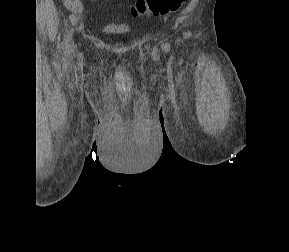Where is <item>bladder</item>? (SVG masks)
I'll return each instance as SVG.
<instances>
[{
  "instance_id": "bladder-1",
  "label": "bladder",
  "mask_w": 289,
  "mask_h": 252,
  "mask_svg": "<svg viewBox=\"0 0 289 252\" xmlns=\"http://www.w3.org/2000/svg\"><path fill=\"white\" fill-rule=\"evenodd\" d=\"M104 31L107 32V33H110V34H120V33H124L125 29L116 28V27H113V26H106L104 28Z\"/></svg>"
}]
</instances>
